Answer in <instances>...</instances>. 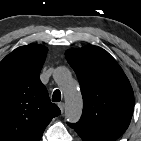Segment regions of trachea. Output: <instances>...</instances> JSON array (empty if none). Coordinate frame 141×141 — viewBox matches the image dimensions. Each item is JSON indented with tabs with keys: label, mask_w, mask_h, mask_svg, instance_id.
I'll return each mask as SVG.
<instances>
[{
	"label": "trachea",
	"mask_w": 141,
	"mask_h": 141,
	"mask_svg": "<svg viewBox=\"0 0 141 141\" xmlns=\"http://www.w3.org/2000/svg\"><path fill=\"white\" fill-rule=\"evenodd\" d=\"M61 100V92L60 90H55L53 93L52 101L53 102H59Z\"/></svg>",
	"instance_id": "obj_1"
}]
</instances>
